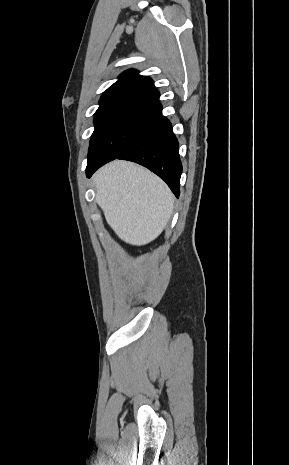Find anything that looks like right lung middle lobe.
Returning <instances> with one entry per match:
<instances>
[{
	"label": "right lung middle lobe",
	"mask_w": 289,
	"mask_h": 465,
	"mask_svg": "<svg viewBox=\"0 0 289 465\" xmlns=\"http://www.w3.org/2000/svg\"><path fill=\"white\" fill-rule=\"evenodd\" d=\"M161 116V106L143 103L120 104L95 113L88 161L114 160Z\"/></svg>",
	"instance_id": "obj_1"
}]
</instances>
